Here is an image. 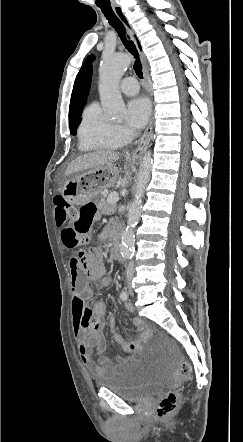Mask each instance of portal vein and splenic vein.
<instances>
[{
    "mask_svg": "<svg viewBox=\"0 0 243 442\" xmlns=\"http://www.w3.org/2000/svg\"><path fill=\"white\" fill-rule=\"evenodd\" d=\"M118 200H119V195H118V193H112V194H110L109 197H108V202L111 203V204H115V203H117Z\"/></svg>",
    "mask_w": 243,
    "mask_h": 442,
    "instance_id": "18ae733b",
    "label": "portal vein and splenic vein"
}]
</instances>
